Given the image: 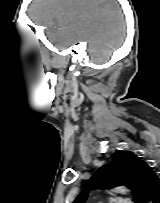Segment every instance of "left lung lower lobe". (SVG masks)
Segmentation results:
<instances>
[{
    "instance_id": "obj_1",
    "label": "left lung lower lobe",
    "mask_w": 160,
    "mask_h": 203,
    "mask_svg": "<svg viewBox=\"0 0 160 203\" xmlns=\"http://www.w3.org/2000/svg\"><path fill=\"white\" fill-rule=\"evenodd\" d=\"M149 201L152 203H160V178L157 180L152 190Z\"/></svg>"
}]
</instances>
